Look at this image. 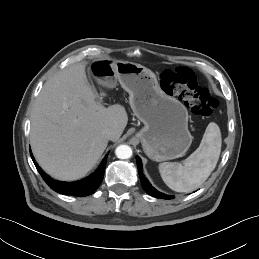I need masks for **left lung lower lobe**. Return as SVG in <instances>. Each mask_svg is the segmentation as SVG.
Returning <instances> with one entry per match:
<instances>
[{
  "mask_svg": "<svg viewBox=\"0 0 259 259\" xmlns=\"http://www.w3.org/2000/svg\"><path fill=\"white\" fill-rule=\"evenodd\" d=\"M137 167H138V171H139V175H140L141 184H142L144 190L149 195L159 198V199H166V200L173 198V196L165 195V194L159 192L158 190H156L154 187H152V185L148 182V180L143 175L142 162L139 157H137Z\"/></svg>",
  "mask_w": 259,
  "mask_h": 259,
  "instance_id": "1",
  "label": "left lung lower lobe"
}]
</instances>
